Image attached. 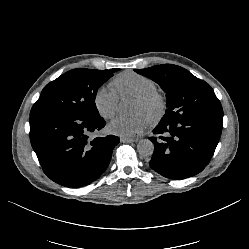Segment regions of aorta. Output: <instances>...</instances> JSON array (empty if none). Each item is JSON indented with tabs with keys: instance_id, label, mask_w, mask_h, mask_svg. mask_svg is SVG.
I'll list each match as a JSON object with an SVG mask.
<instances>
[{
	"instance_id": "762f6f07",
	"label": "aorta",
	"mask_w": 249,
	"mask_h": 249,
	"mask_svg": "<svg viewBox=\"0 0 249 249\" xmlns=\"http://www.w3.org/2000/svg\"><path fill=\"white\" fill-rule=\"evenodd\" d=\"M121 107L124 109L126 106L122 104ZM137 152L140 156L149 157L154 152V144L148 139H142L137 144Z\"/></svg>"
}]
</instances>
